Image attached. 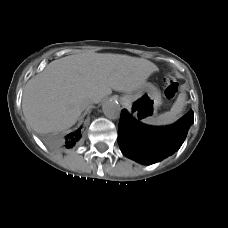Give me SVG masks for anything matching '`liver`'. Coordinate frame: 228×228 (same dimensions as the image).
<instances>
[{
    "label": "liver",
    "instance_id": "6515ba94",
    "mask_svg": "<svg viewBox=\"0 0 228 228\" xmlns=\"http://www.w3.org/2000/svg\"><path fill=\"white\" fill-rule=\"evenodd\" d=\"M149 60L120 54H76L49 63L24 89L22 109L37 133L63 131L73 126L90 98L99 103L118 92L139 89L157 71Z\"/></svg>",
    "mask_w": 228,
    "mask_h": 228
}]
</instances>
